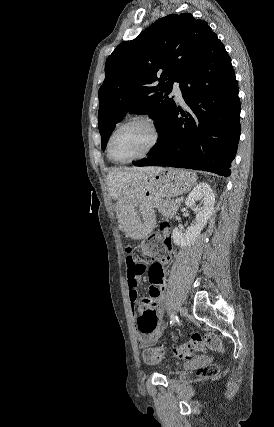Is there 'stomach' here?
<instances>
[{
    "mask_svg": "<svg viewBox=\"0 0 274 427\" xmlns=\"http://www.w3.org/2000/svg\"><path fill=\"white\" fill-rule=\"evenodd\" d=\"M196 184V174L187 170L163 168L154 176L143 178L136 186V192L128 202L118 200L117 217L128 237L146 239L155 227V206L166 198L181 196Z\"/></svg>",
    "mask_w": 274,
    "mask_h": 427,
    "instance_id": "obj_1",
    "label": "stomach"
}]
</instances>
